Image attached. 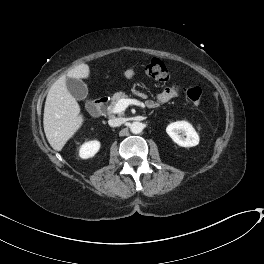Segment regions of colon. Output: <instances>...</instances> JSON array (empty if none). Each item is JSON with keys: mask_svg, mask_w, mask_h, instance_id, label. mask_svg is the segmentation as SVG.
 I'll use <instances>...</instances> for the list:
<instances>
[{"mask_svg": "<svg viewBox=\"0 0 264 264\" xmlns=\"http://www.w3.org/2000/svg\"><path fill=\"white\" fill-rule=\"evenodd\" d=\"M146 72L151 78L157 81L164 82L169 79L167 67L161 60L157 58H153L147 63ZM184 91L187 99L190 101L194 103H200L202 101L203 92L200 87H189Z\"/></svg>", "mask_w": 264, "mask_h": 264, "instance_id": "colon-1", "label": "colon"}]
</instances>
